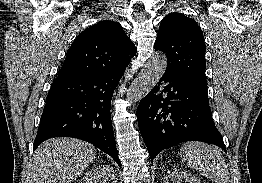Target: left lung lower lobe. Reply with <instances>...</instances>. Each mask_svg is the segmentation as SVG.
<instances>
[{"label": "left lung lower lobe", "instance_id": "left-lung-lower-lobe-1", "mask_svg": "<svg viewBox=\"0 0 262 183\" xmlns=\"http://www.w3.org/2000/svg\"><path fill=\"white\" fill-rule=\"evenodd\" d=\"M137 117L151 162L162 150L186 141L214 144L226 152L211 116L207 89L167 70L141 99Z\"/></svg>", "mask_w": 262, "mask_h": 183}]
</instances>
